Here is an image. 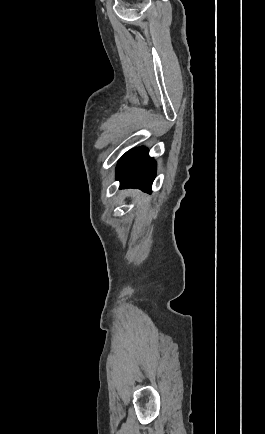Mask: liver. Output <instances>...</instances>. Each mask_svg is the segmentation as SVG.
Segmentation results:
<instances>
[{
	"instance_id": "obj_1",
	"label": "liver",
	"mask_w": 265,
	"mask_h": 434,
	"mask_svg": "<svg viewBox=\"0 0 265 434\" xmlns=\"http://www.w3.org/2000/svg\"><path fill=\"white\" fill-rule=\"evenodd\" d=\"M129 192H135L134 196H137L138 194L137 190H129Z\"/></svg>"
}]
</instances>
